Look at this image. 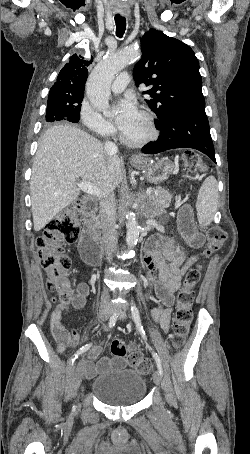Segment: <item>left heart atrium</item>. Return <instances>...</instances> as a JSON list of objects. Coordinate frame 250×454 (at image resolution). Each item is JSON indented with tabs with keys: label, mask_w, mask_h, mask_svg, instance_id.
I'll return each instance as SVG.
<instances>
[{
	"label": "left heart atrium",
	"mask_w": 250,
	"mask_h": 454,
	"mask_svg": "<svg viewBox=\"0 0 250 454\" xmlns=\"http://www.w3.org/2000/svg\"><path fill=\"white\" fill-rule=\"evenodd\" d=\"M139 111L136 103L131 98H124L119 103V115L117 125L121 131L127 129L130 124L137 118Z\"/></svg>",
	"instance_id": "1"
}]
</instances>
